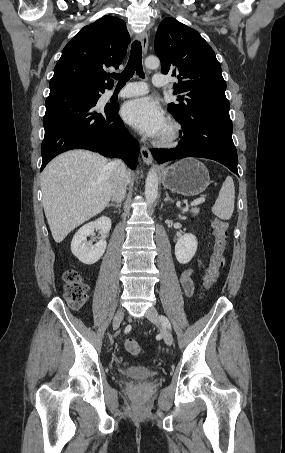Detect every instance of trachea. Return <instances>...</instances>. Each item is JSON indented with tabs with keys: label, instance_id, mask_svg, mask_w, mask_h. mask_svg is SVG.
I'll use <instances>...</instances> for the list:
<instances>
[{
	"label": "trachea",
	"instance_id": "trachea-1",
	"mask_svg": "<svg viewBox=\"0 0 285 453\" xmlns=\"http://www.w3.org/2000/svg\"><path fill=\"white\" fill-rule=\"evenodd\" d=\"M135 72L138 76L144 78L142 68V50L141 43L139 41H134L132 43L130 58L124 71L121 74H114L112 77L118 80V86H124Z\"/></svg>",
	"mask_w": 285,
	"mask_h": 453
}]
</instances>
